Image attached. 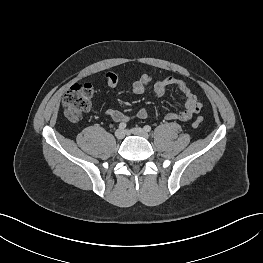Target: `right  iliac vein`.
Listing matches in <instances>:
<instances>
[{"mask_svg": "<svg viewBox=\"0 0 263 263\" xmlns=\"http://www.w3.org/2000/svg\"><path fill=\"white\" fill-rule=\"evenodd\" d=\"M115 137L118 139V140H122L124 137H125V131L122 130V129H117L115 131Z\"/></svg>", "mask_w": 263, "mask_h": 263, "instance_id": "1", "label": "right iliac vein"}]
</instances>
